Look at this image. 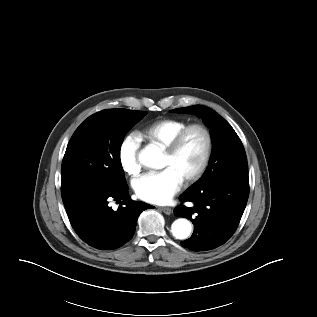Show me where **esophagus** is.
<instances>
[{
    "label": "esophagus",
    "mask_w": 317,
    "mask_h": 317,
    "mask_svg": "<svg viewBox=\"0 0 317 317\" xmlns=\"http://www.w3.org/2000/svg\"><path fill=\"white\" fill-rule=\"evenodd\" d=\"M161 211H163L166 215L172 214L173 210L170 207H162L160 208Z\"/></svg>",
    "instance_id": "obj_1"
}]
</instances>
